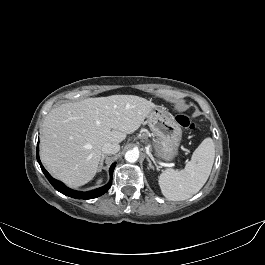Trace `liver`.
<instances>
[{
  "label": "liver",
  "mask_w": 265,
  "mask_h": 265,
  "mask_svg": "<svg viewBox=\"0 0 265 265\" xmlns=\"http://www.w3.org/2000/svg\"><path fill=\"white\" fill-rule=\"evenodd\" d=\"M156 105L135 95H111L65 103L45 117L40 157L46 169L71 187L95 176L106 143L135 132Z\"/></svg>",
  "instance_id": "1"
}]
</instances>
